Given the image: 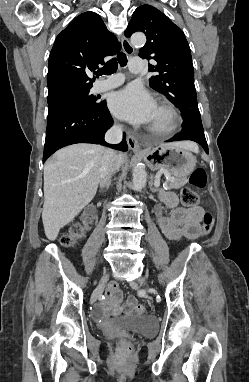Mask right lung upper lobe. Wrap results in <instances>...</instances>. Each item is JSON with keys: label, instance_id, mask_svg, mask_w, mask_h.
Returning a JSON list of instances; mask_svg holds the SVG:
<instances>
[{"label": "right lung upper lobe", "instance_id": "1", "mask_svg": "<svg viewBox=\"0 0 249 382\" xmlns=\"http://www.w3.org/2000/svg\"><path fill=\"white\" fill-rule=\"evenodd\" d=\"M120 48L97 13L85 12L73 19L57 36L49 56L48 103L91 89L94 80L88 74H95L104 57Z\"/></svg>", "mask_w": 249, "mask_h": 382}]
</instances>
